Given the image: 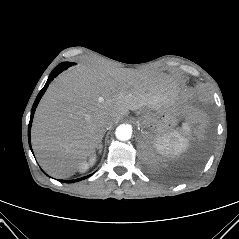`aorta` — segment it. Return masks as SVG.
Here are the masks:
<instances>
[{"instance_id": "762f6f07", "label": "aorta", "mask_w": 239, "mask_h": 239, "mask_svg": "<svg viewBox=\"0 0 239 239\" xmlns=\"http://www.w3.org/2000/svg\"><path fill=\"white\" fill-rule=\"evenodd\" d=\"M115 135L120 141H127L132 136V127L128 124L119 125L116 128Z\"/></svg>"}]
</instances>
